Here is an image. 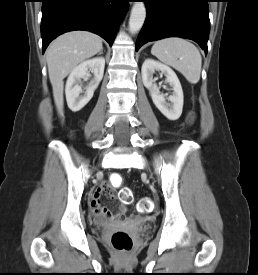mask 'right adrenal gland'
<instances>
[{
    "label": "right adrenal gland",
    "mask_w": 258,
    "mask_h": 275,
    "mask_svg": "<svg viewBox=\"0 0 258 275\" xmlns=\"http://www.w3.org/2000/svg\"><path fill=\"white\" fill-rule=\"evenodd\" d=\"M103 54V49H101V51L99 52V55Z\"/></svg>",
    "instance_id": "obj_1"
}]
</instances>
